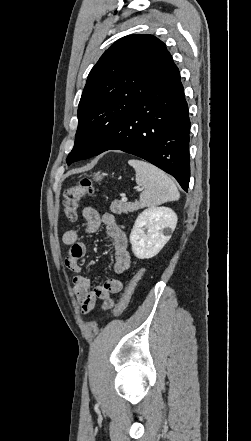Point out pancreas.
<instances>
[{
	"mask_svg": "<svg viewBox=\"0 0 251 441\" xmlns=\"http://www.w3.org/2000/svg\"><path fill=\"white\" fill-rule=\"evenodd\" d=\"M141 208L142 206L138 202L131 203V202H125L119 200H114L110 206L111 212L115 214H121V213L127 214L129 212H134Z\"/></svg>",
	"mask_w": 251,
	"mask_h": 441,
	"instance_id": "1",
	"label": "pancreas"
}]
</instances>
